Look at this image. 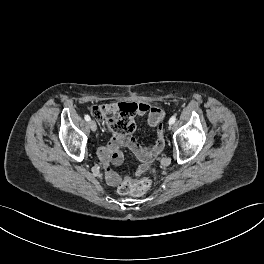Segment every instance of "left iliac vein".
<instances>
[{
    "label": "left iliac vein",
    "instance_id": "left-iliac-vein-1",
    "mask_svg": "<svg viewBox=\"0 0 264 264\" xmlns=\"http://www.w3.org/2000/svg\"><path fill=\"white\" fill-rule=\"evenodd\" d=\"M168 129H171V124H169Z\"/></svg>",
    "mask_w": 264,
    "mask_h": 264
}]
</instances>
